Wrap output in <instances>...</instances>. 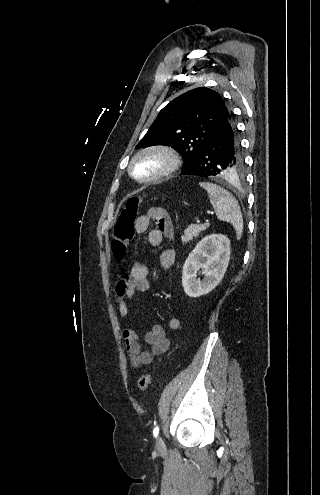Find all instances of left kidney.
<instances>
[{
    "label": "left kidney",
    "mask_w": 320,
    "mask_h": 495,
    "mask_svg": "<svg viewBox=\"0 0 320 495\" xmlns=\"http://www.w3.org/2000/svg\"><path fill=\"white\" fill-rule=\"evenodd\" d=\"M230 260V240L224 235L204 237L189 254L183 266L182 285L193 298L211 292L222 280ZM204 274L201 281L198 272Z\"/></svg>",
    "instance_id": "obj_1"
}]
</instances>
